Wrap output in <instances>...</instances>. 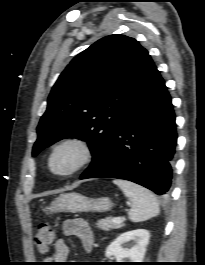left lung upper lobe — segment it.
<instances>
[{
    "mask_svg": "<svg viewBox=\"0 0 205 265\" xmlns=\"http://www.w3.org/2000/svg\"><path fill=\"white\" fill-rule=\"evenodd\" d=\"M154 68L148 51L124 35L106 36L78 54L51 90L32 156L75 137L87 141L97 158Z\"/></svg>",
    "mask_w": 205,
    "mask_h": 265,
    "instance_id": "obj_1",
    "label": "left lung upper lobe"
}]
</instances>
